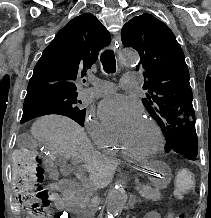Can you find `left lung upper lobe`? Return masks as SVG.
<instances>
[{"label":"left lung upper lobe","instance_id":"obj_1","mask_svg":"<svg viewBox=\"0 0 211 218\" xmlns=\"http://www.w3.org/2000/svg\"><path fill=\"white\" fill-rule=\"evenodd\" d=\"M121 39L140 55L136 69L143 73L147 90L142 102L164 134L166 152L195 159L198 140L190 77L175 35L165 23L145 13L123 26Z\"/></svg>","mask_w":211,"mask_h":218}]
</instances>
